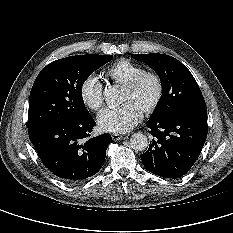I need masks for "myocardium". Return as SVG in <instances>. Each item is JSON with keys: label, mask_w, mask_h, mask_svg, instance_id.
<instances>
[{"label": "myocardium", "mask_w": 233, "mask_h": 233, "mask_svg": "<svg viewBox=\"0 0 233 233\" xmlns=\"http://www.w3.org/2000/svg\"><path fill=\"white\" fill-rule=\"evenodd\" d=\"M151 79L156 84V93L152 101L147 105V107L143 110V113L148 116L151 115L155 109L158 107L164 95V82L162 77L153 71H142L139 74L135 75L132 79H130L127 84L124 86L127 91H136L142 83Z\"/></svg>", "instance_id": "1"}]
</instances>
